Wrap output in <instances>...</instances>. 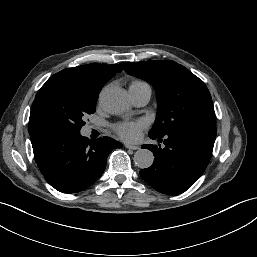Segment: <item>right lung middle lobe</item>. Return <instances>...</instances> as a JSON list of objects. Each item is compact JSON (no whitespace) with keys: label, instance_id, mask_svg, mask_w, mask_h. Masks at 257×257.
<instances>
[{"label":"right lung middle lobe","instance_id":"obj_1","mask_svg":"<svg viewBox=\"0 0 257 257\" xmlns=\"http://www.w3.org/2000/svg\"><path fill=\"white\" fill-rule=\"evenodd\" d=\"M98 97L60 81H47L33 102L29 133H80L87 114L96 111Z\"/></svg>","mask_w":257,"mask_h":257}]
</instances>
